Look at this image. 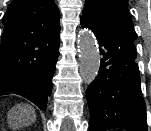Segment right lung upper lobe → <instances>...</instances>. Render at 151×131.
<instances>
[{
  "label": "right lung upper lobe",
  "mask_w": 151,
  "mask_h": 131,
  "mask_svg": "<svg viewBox=\"0 0 151 131\" xmlns=\"http://www.w3.org/2000/svg\"><path fill=\"white\" fill-rule=\"evenodd\" d=\"M59 10L54 0H14L4 18L0 90L38 72L59 43Z\"/></svg>",
  "instance_id": "1"
}]
</instances>
